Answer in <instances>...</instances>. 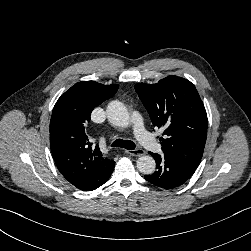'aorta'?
<instances>
[{
  "instance_id": "aorta-1",
  "label": "aorta",
  "mask_w": 251,
  "mask_h": 251,
  "mask_svg": "<svg viewBox=\"0 0 251 251\" xmlns=\"http://www.w3.org/2000/svg\"><path fill=\"white\" fill-rule=\"evenodd\" d=\"M108 121L118 127H128L130 124V116L125 105L117 100L111 101L106 109ZM138 170L145 174L150 175L154 173L156 163L153 157L144 155L137 160Z\"/></svg>"
}]
</instances>
